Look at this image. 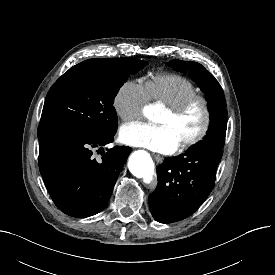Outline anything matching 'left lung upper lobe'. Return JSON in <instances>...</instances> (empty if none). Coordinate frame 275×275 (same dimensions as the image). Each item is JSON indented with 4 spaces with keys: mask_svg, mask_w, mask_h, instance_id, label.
Masks as SVG:
<instances>
[{
    "mask_svg": "<svg viewBox=\"0 0 275 275\" xmlns=\"http://www.w3.org/2000/svg\"><path fill=\"white\" fill-rule=\"evenodd\" d=\"M168 65L180 72L188 71L192 80L206 93V100L211 113L209 130L204 140L191 148L215 146L222 149L227 128L226 100L222 87L215 77L199 63L171 60Z\"/></svg>",
    "mask_w": 275,
    "mask_h": 275,
    "instance_id": "1",
    "label": "left lung upper lobe"
}]
</instances>
